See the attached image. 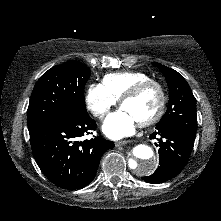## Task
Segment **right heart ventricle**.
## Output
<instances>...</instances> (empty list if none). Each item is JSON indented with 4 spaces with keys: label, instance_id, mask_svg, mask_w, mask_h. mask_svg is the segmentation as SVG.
<instances>
[{
    "label": "right heart ventricle",
    "instance_id": "right-heart-ventricle-1",
    "mask_svg": "<svg viewBox=\"0 0 221 221\" xmlns=\"http://www.w3.org/2000/svg\"><path fill=\"white\" fill-rule=\"evenodd\" d=\"M149 78V75L144 72L122 71L105 75L102 83L119 100L134 85Z\"/></svg>",
    "mask_w": 221,
    "mask_h": 221
}]
</instances>
